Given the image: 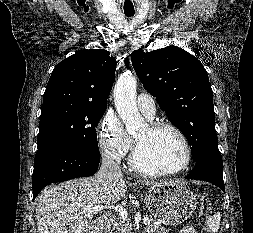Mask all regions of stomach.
Returning <instances> with one entry per match:
<instances>
[{
  "label": "stomach",
  "instance_id": "stomach-1",
  "mask_svg": "<svg viewBox=\"0 0 253 233\" xmlns=\"http://www.w3.org/2000/svg\"><path fill=\"white\" fill-rule=\"evenodd\" d=\"M196 205V196L181 183L152 186L147 195L149 212L165 225L181 224L193 214Z\"/></svg>",
  "mask_w": 253,
  "mask_h": 233
}]
</instances>
